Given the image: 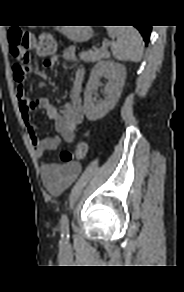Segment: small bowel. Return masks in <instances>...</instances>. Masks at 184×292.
I'll return each instance as SVG.
<instances>
[{
    "instance_id": "small-bowel-1",
    "label": "small bowel",
    "mask_w": 184,
    "mask_h": 292,
    "mask_svg": "<svg viewBox=\"0 0 184 292\" xmlns=\"http://www.w3.org/2000/svg\"><path fill=\"white\" fill-rule=\"evenodd\" d=\"M63 60L78 64L76 49L73 46L63 50ZM59 56L44 60L43 66L53 69L59 62ZM14 82L16 84V98L20 115L26 128L29 139L34 147L37 156L58 148L61 141L72 143L76 137V128L83 120V108L81 90L85 77V69L78 66L74 72L70 90V101L62 107L53 105L47 98L40 97L30 101L25 94V80L27 69L21 70L18 64L14 65ZM37 108L45 110L47 116L55 122L57 136L40 139L37 135V127L31 121V112ZM80 172V164L71 162L58 164L54 162H43L41 165L42 182L46 190L53 195L63 193L77 178Z\"/></svg>"
}]
</instances>
